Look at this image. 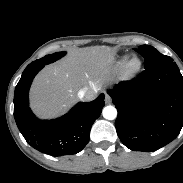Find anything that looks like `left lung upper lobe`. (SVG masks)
I'll return each instance as SVG.
<instances>
[{
  "label": "left lung upper lobe",
  "mask_w": 183,
  "mask_h": 183,
  "mask_svg": "<svg viewBox=\"0 0 183 183\" xmlns=\"http://www.w3.org/2000/svg\"><path fill=\"white\" fill-rule=\"evenodd\" d=\"M135 50L144 57L145 69L156 68L166 64L174 63L171 57L161 54L150 45H142Z\"/></svg>",
  "instance_id": "5c2ea615"
}]
</instances>
